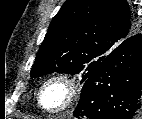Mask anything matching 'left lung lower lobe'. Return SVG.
<instances>
[{
  "label": "left lung lower lobe",
  "instance_id": "1",
  "mask_svg": "<svg viewBox=\"0 0 142 119\" xmlns=\"http://www.w3.org/2000/svg\"><path fill=\"white\" fill-rule=\"evenodd\" d=\"M142 34L115 47L84 82L73 112L83 119L142 117Z\"/></svg>",
  "mask_w": 142,
  "mask_h": 119
}]
</instances>
